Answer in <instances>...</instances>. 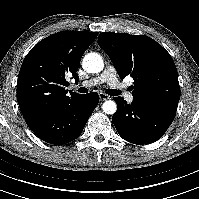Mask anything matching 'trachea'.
I'll use <instances>...</instances> for the list:
<instances>
[{"instance_id":"1","label":"trachea","mask_w":199,"mask_h":199,"mask_svg":"<svg viewBox=\"0 0 199 199\" xmlns=\"http://www.w3.org/2000/svg\"><path fill=\"white\" fill-rule=\"evenodd\" d=\"M78 92H79V93H87V92H88V89L85 88V87H80V88L78 89ZM106 93H107L108 95H111V96H118V95H119L118 91H116L115 89H107V90H106Z\"/></svg>"}]
</instances>
